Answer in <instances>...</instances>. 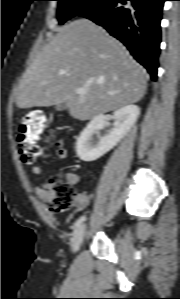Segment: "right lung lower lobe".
Segmentation results:
<instances>
[{
	"instance_id": "right-lung-lower-lobe-1",
	"label": "right lung lower lobe",
	"mask_w": 180,
	"mask_h": 299,
	"mask_svg": "<svg viewBox=\"0 0 180 299\" xmlns=\"http://www.w3.org/2000/svg\"><path fill=\"white\" fill-rule=\"evenodd\" d=\"M165 0H104L80 16L104 27L156 79Z\"/></svg>"
}]
</instances>
